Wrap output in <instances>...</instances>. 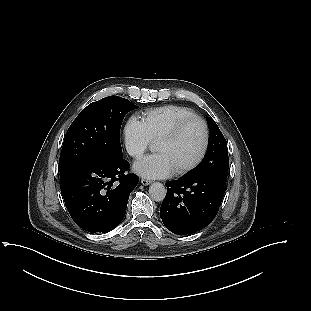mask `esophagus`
<instances>
[{
    "mask_svg": "<svg viewBox=\"0 0 311 311\" xmlns=\"http://www.w3.org/2000/svg\"><path fill=\"white\" fill-rule=\"evenodd\" d=\"M151 183H152V181H150V180L141 179V184L144 185V186H147V185H149V184H151Z\"/></svg>",
    "mask_w": 311,
    "mask_h": 311,
    "instance_id": "obj_1",
    "label": "esophagus"
}]
</instances>
